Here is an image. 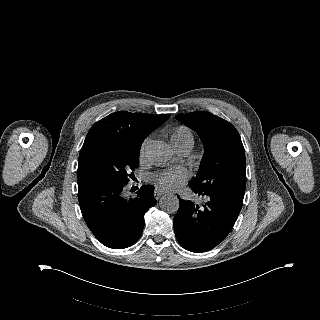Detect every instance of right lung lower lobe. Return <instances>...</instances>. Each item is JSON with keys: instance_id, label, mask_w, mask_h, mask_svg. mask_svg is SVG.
<instances>
[{"instance_id": "right-lung-lower-lobe-1", "label": "right lung lower lobe", "mask_w": 320, "mask_h": 320, "mask_svg": "<svg viewBox=\"0 0 320 320\" xmlns=\"http://www.w3.org/2000/svg\"><path fill=\"white\" fill-rule=\"evenodd\" d=\"M77 181L81 212L93 235L109 248L133 245L142 234L145 213L156 204L154 187L142 186L136 198L126 199L127 183L95 175H82Z\"/></svg>"}]
</instances>
